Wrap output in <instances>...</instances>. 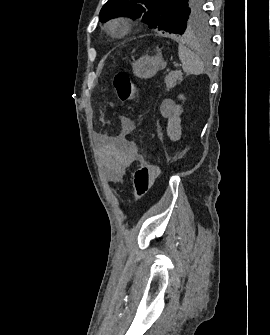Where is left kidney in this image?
Segmentation results:
<instances>
[{
	"mask_svg": "<svg viewBox=\"0 0 270 335\" xmlns=\"http://www.w3.org/2000/svg\"><path fill=\"white\" fill-rule=\"evenodd\" d=\"M179 100H185L183 94H180L178 96ZM183 110L181 106H176L175 112L171 118H168V124H167V136H169L170 140L172 142H177V140H180L181 138V120L179 116H181Z\"/></svg>",
	"mask_w": 270,
	"mask_h": 335,
	"instance_id": "obj_1",
	"label": "left kidney"
}]
</instances>
